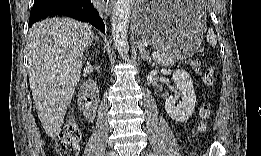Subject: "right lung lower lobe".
Masks as SVG:
<instances>
[{"label": "right lung lower lobe", "mask_w": 261, "mask_h": 156, "mask_svg": "<svg viewBox=\"0 0 261 156\" xmlns=\"http://www.w3.org/2000/svg\"><path fill=\"white\" fill-rule=\"evenodd\" d=\"M68 16L79 21L89 22L105 33V25L90 0H35L29 25L47 16Z\"/></svg>", "instance_id": "obj_1"}]
</instances>
